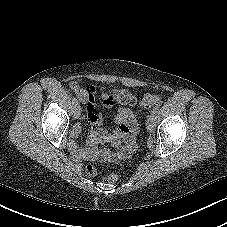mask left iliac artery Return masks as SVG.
I'll return each mask as SVG.
<instances>
[{
  "label": "left iliac artery",
  "instance_id": "left-iliac-artery-1",
  "mask_svg": "<svg viewBox=\"0 0 227 227\" xmlns=\"http://www.w3.org/2000/svg\"><path fill=\"white\" fill-rule=\"evenodd\" d=\"M160 104H157L152 110L151 113L156 114L159 110Z\"/></svg>",
  "mask_w": 227,
  "mask_h": 227
}]
</instances>
